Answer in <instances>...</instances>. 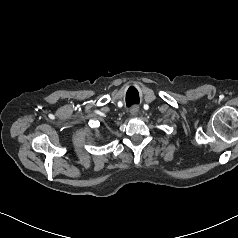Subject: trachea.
<instances>
[{
  "label": "trachea",
  "instance_id": "trachea-1",
  "mask_svg": "<svg viewBox=\"0 0 238 238\" xmlns=\"http://www.w3.org/2000/svg\"><path fill=\"white\" fill-rule=\"evenodd\" d=\"M126 103H127L128 106H130V105H132L134 103H137V101L136 100L135 101L134 100H130V99L127 98L126 99Z\"/></svg>",
  "mask_w": 238,
  "mask_h": 238
}]
</instances>
